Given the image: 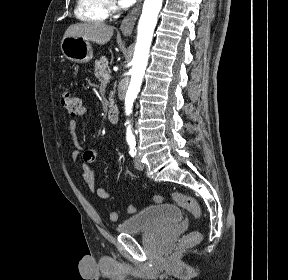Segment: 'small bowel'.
<instances>
[{"label": "small bowel", "mask_w": 288, "mask_h": 280, "mask_svg": "<svg viewBox=\"0 0 288 280\" xmlns=\"http://www.w3.org/2000/svg\"><path fill=\"white\" fill-rule=\"evenodd\" d=\"M87 107H81L78 117L87 115ZM68 129L72 135L76 130V121L71 119L67 122ZM79 157L83 160V181L87 185L89 192L101 199H109L113 195V191H107L106 189L97 186L95 182V167L94 163L97 159V153L94 150H82L81 147H77L72 153V159L76 161Z\"/></svg>", "instance_id": "c3829d8e"}]
</instances>
